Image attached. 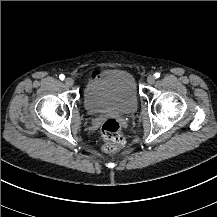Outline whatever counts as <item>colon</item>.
Wrapping results in <instances>:
<instances>
[{"label": "colon", "mask_w": 217, "mask_h": 217, "mask_svg": "<svg viewBox=\"0 0 217 217\" xmlns=\"http://www.w3.org/2000/svg\"><path fill=\"white\" fill-rule=\"evenodd\" d=\"M101 133L107 142L104 147V150L107 153H114L118 151L124 143V138L121 135L120 122L114 117H110L104 121Z\"/></svg>", "instance_id": "5ec220e1"}]
</instances>
